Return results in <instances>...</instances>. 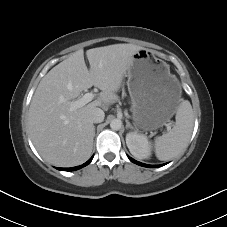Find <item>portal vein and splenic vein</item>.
Listing matches in <instances>:
<instances>
[{
  "mask_svg": "<svg viewBox=\"0 0 227 227\" xmlns=\"http://www.w3.org/2000/svg\"><path fill=\"white\" fill-rule=\"evenodd\" d=\"M93 98H94V94L93 93H86L81 98L71 102V108L72 109H77V108L83 107L87 103L92 101ZM166 126H167V130H171V125L170 124H167Z\"/></svg>",
  "mask_w": 227,
  "mask_h": 227,
  "instance_id": "obj_1",
  "label": "portal vein and splenic vein"
}]
</instances>
